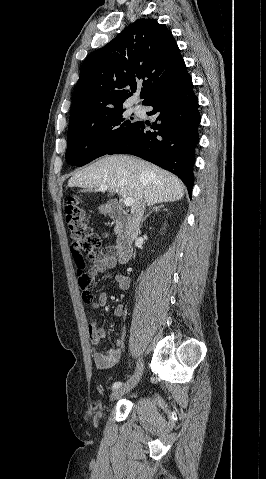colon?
I'll return each instance as SVG.
<instances>
[{"label":"colon","instance_id":"obj_1","mask_svg":"<svg viewBox=\"0 0 266 479\" xmlns=\"http://www.w3.org/2000/svg\"><path fill=\"white\" fill-rule=\"evenodd\" d=\"M66 224L72 240L71 252L74 259L78 285L82 297L88 303L94 299L93 277L85 272L87 260H94L101 248V236L93 232L88 224L87 213L83 207L71 199L66 207Z\"/></svg>","mask_w":266,"mask_h":479}]
</instances>
